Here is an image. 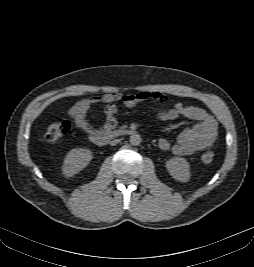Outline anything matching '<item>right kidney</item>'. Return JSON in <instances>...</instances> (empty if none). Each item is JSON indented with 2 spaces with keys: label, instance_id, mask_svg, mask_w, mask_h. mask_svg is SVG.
Returning a JSON list of instances; mask_svg holds the SVG:
<instances>
[{
  "label": "right kidney",
  "instance_id": "right-kidney-1",
  "mask_svg": "<svg viewBox=\"0 0 254 267\" xmlns=\"http://www.w3.org/2000/svg\"><path fill=\"white\" fill-rule=\"evenodd\" d=\"M93 155L89 149L75 148L68 152L62 166L63 174L66 177H72L83 168H85L92 160Z\"/></svg>",
  "mask_w": 254,
  "mask_h": 267
}]
</instances>
